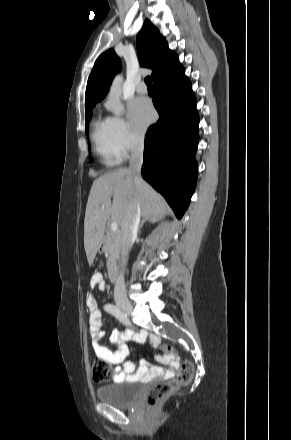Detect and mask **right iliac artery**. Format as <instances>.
Segmentation results:
<instances>
[{
    "label": "right iliac artery",
    "instance_id": "right-iliac-artery-1",
    "mask_svg": "<svg viewBox=\"0 0 291 440\" xmlns=\"http://www.w3.org/2000/svg\"><path fill=\"white\" fill-rule=\"evenodd\" d=\"M106 310L112 315H114L124 325H129V320L126 314L123 311H121L117 306L109 304L106 306Z\"/></svg>",
    "mask_w": 291,
    "mask_h": 440
}]
</instances>
